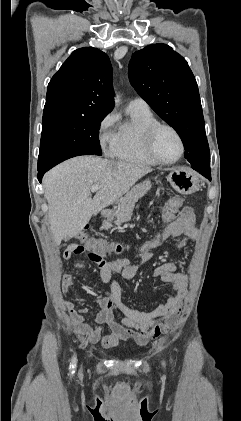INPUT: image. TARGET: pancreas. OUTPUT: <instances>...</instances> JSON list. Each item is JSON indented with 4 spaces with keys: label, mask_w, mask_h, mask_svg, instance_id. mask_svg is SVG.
I'll use <instances>...</instances> for the list:
<instances>
[{
    "label": "pancreas",
    "mask_w": 241,
    "mask_h": 421,
    "mask_svg": "<svg viewBox=\"0 0 241 421\" xmlns=\"http://www.w3.org/2000/svg\"><path fill=\"white\" fill-rule=\"evenodd\" d=\"M151 189L150 181H144L135 185L127 194L117 200V208L114 212V217L116 220L114 224L119 226L131 219L132 211L134 209L135 203L142 198L149 190ZM112 218H109L103 223V228L108 230L112 227Z\"/></svg>",
    "instance_id": "cf45deb5"
}]
</instances>
